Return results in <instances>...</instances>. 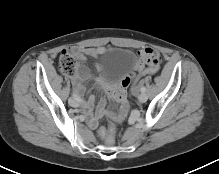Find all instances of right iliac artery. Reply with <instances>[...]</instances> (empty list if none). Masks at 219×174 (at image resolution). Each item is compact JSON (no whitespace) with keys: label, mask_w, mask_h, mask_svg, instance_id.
Returning a JSON list of instances; mask_svg holds the SVG:
<instances>
[{"label":"right iliac artery","mask_w":219,"mask_h":174,"mask_svg":"<svg viewBox=\"0 0 219 174\" xmlns=\"http://www.w3.org/2000/svg\"><path fill=\"white\" fill-rule=\"evenodd\" d=\"M72 96L78 101V102H81L82 101V99H80L77 95H76V93L73 91L72 92Z\"/></svg>","instance_id":"right-iliac-artery-1"}]
</instances>
